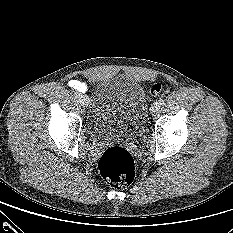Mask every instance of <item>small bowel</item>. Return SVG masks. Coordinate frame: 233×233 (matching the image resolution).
Returning <instances> with one entry per match:
<instances>
[{"label":"small bowel","instance_id":"small-bowel-1","mask_svg":"<svg viewBox=\"0 0 233 233\" xmlns=\"http://www.w3.org/2000/svg\"><path fill=\"white\" fill-rule=\"evenodd\" d=\"M69 85L73 89H75V90H77L79 92H83L84 93V92L87 91V85L84 82L80 81V80L72 79V80L69 81Z\"/></svg>","mask_w":233,"mask_h":233}]
</instances>
